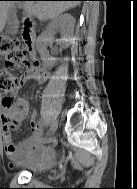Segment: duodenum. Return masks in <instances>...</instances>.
I'll return each mask as SVG.
<instances>
[{"label": "duodenum", "mask_w": 137, "mask_h": 189, "mask_svg": "<svg viewBox=\"0 0 137 189\" xmlns=\"http://www.w3.org/2000/svg\"><path fill=\"white\" fill-rule=\"evenodd\" d=\"M23 30H22V40L25 49L33 55L35 53L36 48V35L32 29V22L31 21H24L23 22Z\"/></svg>", "instance_id": "obj_1"}]
</instances>
